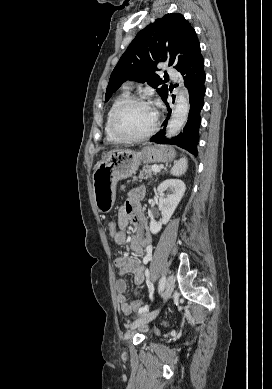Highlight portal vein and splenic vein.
<instances>
[{
    "mask_svg": "<svg viewBox=\"0 0 272 389\" xmlns=\"http://www.w3.org/2000/svg\"><path fill=\"white\" fill-rule=\"evenodd\" d=\"M151 170H152L153 172H159V171H160V168H159V166H157V165H153L152 168H151Z\"/></svg>",
    "mask_w": 272,
    "mask_h": 389,
    "instance_id": "18ae733b",
    "label": "portal vein and splenic vein"
}]
</instances>
